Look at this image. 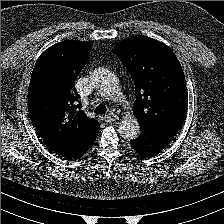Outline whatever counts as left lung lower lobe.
<instances>
[{
    "label": "left lung lower lobe",
    "instance_id": "obj_1",
    "mask_svg": "<svg viewBox=\"0 0 224 224\" xmlns=\"http://www.w3.org/2000/svg\"><path fill=\"white\" fill-rule=\"evenodd\" d=\"M170 142L171 139L147 129H141V134L130 141L131 147L144 158L159 154Z\"/></svg>",
    "mask_w": 224,
    "mask_h": 224
}]
</instances>
